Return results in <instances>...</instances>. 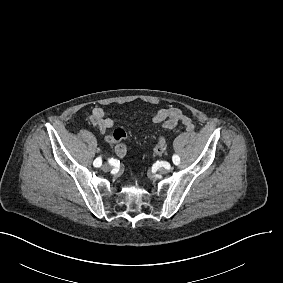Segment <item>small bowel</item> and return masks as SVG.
Masks as SVG:
<instances>
[{"label":"small bowel","instance_id":"1","mask_svg":"<svg viewBox=\"0 0 283 283\" xmlns=\"http://www.w3.org/2000/svg\"><path fill=\"white\" fill-rule=\"evenodd\" d=\"M89 121L96 126L101 133L115 126L112 118L108 117L101 107H94L89 115ZM152 123L156 127L164 129H174L182 124L188 131L194 129V124L190 117L185 115L178 108L161 109L152 116ZM126 132L122 128H116L112 133L107 134L105 140L107 143L115 145V152L118 157L123 158L126 155V146L122 143L126 139Z\"/></svg>","mask_w":283,"mask_h":283}]
</instances>
